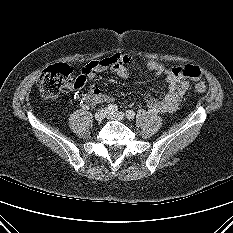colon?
<instances>
[{"label":"colon","mask_w":233,"mask_h":233,"mask_svg":"<svg viewBox=\"0 0 233 233\" xmlns=\"http://www.w3.org/2000/svg\"><path fill=\"white\" fill-rule=\"evenodd\" d=\"M174 72L176 75L194 80L198 79L201 75L200 69L193 65L178 67ZM71 73L72 68L64 63L54 64L44 69L37 81L41 95L45 98H55L68 81ZM75 82L82 84L83 80L77 78ZM194 89L198 93H204L207 87L203 82H197Z\"/></svg>","instance_id":"1"}]
</instances>
